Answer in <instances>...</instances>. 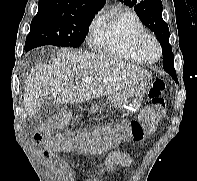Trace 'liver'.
Segmentation results:
<instances>
[{
    "mask_svg": "<svg viewBox=\"0 0 197 181\" xmlns=\"http://www.w3.org/2000/svg\"><path fill=\"white\" fill-rule=\"evenodd\" d=\"M74 78L76 84L69 85ZM147 79H152L151 74L139 66L63 49L49 64L39 63L31 70L25 81L24 109L28 116H33L40 111L45 96L56 103L77 104L114 94Z\"/></svg>",
    "mask_w": 197,
    "mask_h": 181,
    "instance_id": "obj_1",
    "label": "liver"
}]
</instances>
